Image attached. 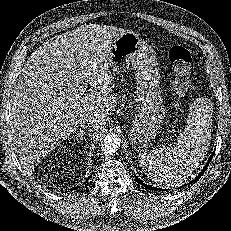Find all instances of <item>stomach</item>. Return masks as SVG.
<instances>
[{
  "mask_svg": "<svg viewBox=\"0 0 231 231\" xmlns=\"http://www.w3.org/2000/svg\"><path fill=\"white\" fill-rule=\"evenodd\" d=\"M108 65L116 74L129 67L135 71L137 106L130 137L137 145L149 144L165 116L154 51L138 34L126 31L113 41Z\"/></svg>",
  "mask_w": 231,
  "mask_h": 231,
  "instance_id": "obj_1",
  "label": "stomach"
}]
</instances>
